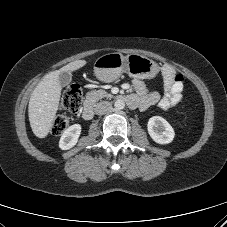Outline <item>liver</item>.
I'll return each mask as SVG.
<instances>
[{"instance_id": "liver-1", "label": "liver", "mask_w": 227, "mask_h": 227, "mask_svg": "<svg viewBox=\"0 0 227 227\" xmlns=\"http://www.w3.org/2000/svg\"><path fill=\"white\" fill-rule=\"evenodd\" d=\"M86 64L85 60L73 61L59 70L46 74L38 83L28 105L30 126L36 137L45 138L55 119L62 90L59 74L63 71H76Z\"/></svg>"}]
</instances>
